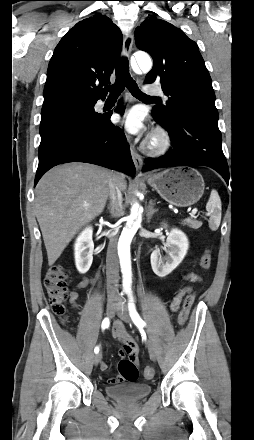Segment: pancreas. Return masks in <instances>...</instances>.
Here are the masks:
<instances>
[{"mask_svg": "<svg viewBox=\"0 0 254 440\" xmlns=\"http://www.w3.org/2000/svg\"><path fill=\"white\" fill-rule=\"evenodd\" d=\"M183 224L188 225L193 229H198L202 226V222L197 220H186Z\"/></svg>", "mask_w": 254, "mask_h": 440, "instance_id": "cf45deb5", "label": "pancreas"}]
</instances>
